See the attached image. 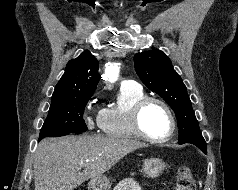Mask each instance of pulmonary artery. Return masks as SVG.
<instances>
[{
  "label": "pulmonary artery",
  "instance_id": "e3ab8cb5",
  "mask_svg": "<svg viewBox=\"0 0 238 190\" xmlns=\"http://www.w3.org/2000/svg\"><path fill=\"white\" fill-rule=\"evenodd\" d=\"M121 88L123 89H137L140 85L134 80H123L121 82Z\"/></svg>",
  "mask_w": 238,
  "mask_h": 190
}]
</instances>
